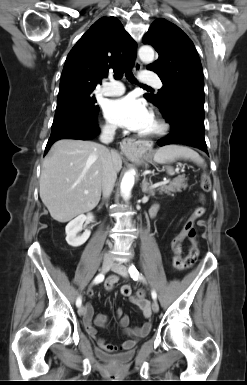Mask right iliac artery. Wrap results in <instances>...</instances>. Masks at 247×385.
Here are the masks:
<instances>
[{"label":"right iliac artery","instance_id":"1","mask_svg":"<svg viewBox=\"0 0 247 385\" xmlns=\"http://www.w3.org/2000/svg\"><path fill=\"white\" fill-rule=\"evenodd\" d=\"M104 280V275L103 274H98L95 279L93 280V283L94 284H98V283H101L102 281ZM82 304V299H81V296H79L76 300V306L77 307H80Z\"/></svg>","mask_w":247,"mask_h":385}]
</instances>
